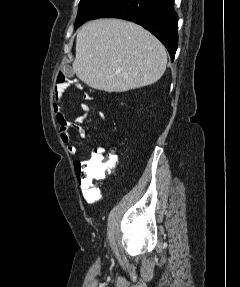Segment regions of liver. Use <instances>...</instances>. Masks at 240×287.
Returning <instances> with one entry per match:
<instances>
[{"mask_svg": "<svg viewBox=\"0 0 240 287\" xmlns=\"http://www.w3.org/2000/svg\"><path fill=\"white\" fill-rule=\"evenodd\" d=\"M162 43L143 27L120 19L82 26L73 73L93 89L125 92L157 82L166 70Z\"/></svg>", "mask_w": 240, "mask_h": 287, "instance_id": "6515ba94", "label": "liver"}]
</instances>
